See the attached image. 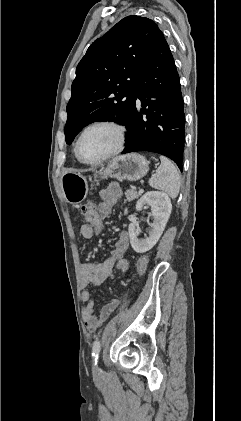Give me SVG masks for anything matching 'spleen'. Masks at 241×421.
<instances>
[{"instance_id":"spleen-1","label":"spleen","mask_w":241,"mask_h":421,"mask_svg":"<svg viewBox=\"0 0 241 421\" xmlns=\"http://www.w3.org/2000/svg\"><path fill=\"white\" fill-rule=\"evenodd\" d=\"M161 165L149 179V185L166 192L171 198H176L180 190V176L175 165L166 157L161 156Z\"/></svg>"}]
</instances>
